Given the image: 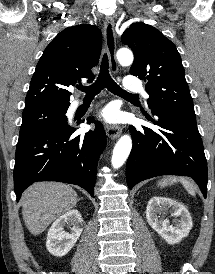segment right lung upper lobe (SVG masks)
Wrapping results in <instances>:
<instances>
[{
  "instance_id": "cb5924a9",
  "label": "right lung upper lobe",
  "mask_w": 215,
  "mask_h": 274,
  "mask_svg": "<svg viewBox=\"0 0 215 274\" xmlns=\"http://www.w3.org/2000/svg\"><path fill=\"white\" fill-rule=\"evenodd\" d=\"M102 45L101 31L94 25L80 24L61 31L45 48L25 99V108L69 107L67 90L81 78L93 81L91 68L97 65Z\"/></svg>"
}]
</instances>
